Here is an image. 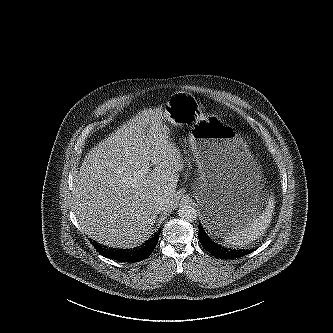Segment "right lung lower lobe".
<instances>
[{
	"label": "right lung lower lobe",
	"instance_id": "right-lung-lower-lobe-1",
	"mask_svg": "<svg viewBox=\"0 0 333 333\" xmlns=\"http://www.w3.org/2000/svg\"><path fill=\"white\" fill-rule=\"evenodd\" d=\"M159 239V233H155L146 243L141 245L135 250L129 252H121L117 250H111L105 246L98 245L92 242L95 249L104 257L111 258L120 262H139L148 258L156 247Z\"/></svg>",
	"mask_w": 333,
	"mask_h": 333
}]
</instances>
